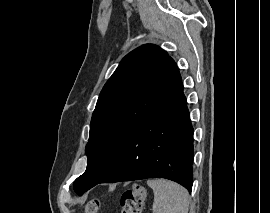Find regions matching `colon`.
<instances>
[{
    "instance_id": "obj_1",
    "label": "colon",
    "mask_w": 270,
    "mask_h": 213,
    "mask_svg": "<svg viewBox=\"0 0 270 213\" xmlns=\"http://www.w3.org/2000/svg\"><path fill=\"white\" fill-rule=\"evenodd\" d=\"M146 196V189L140 185L124 191L120 197L121 213H141ZM99 208V200L92 199L87 203L85 213H97Z\"/></svg>"
}]
</instances>
